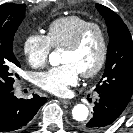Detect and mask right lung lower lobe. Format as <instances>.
Segmentation results:
<instances>
[{
  "mask_svg": "<svg viewBox=\"0 0 133 133\" xmlns=\"http://www.w3.org/2000/svg\"><path fill=\"white\" fill-rule=\"evenodd\" d=\"M45 102L37 94L29 100L16 98L12 90L0 94V132L25 129Z\"/></svg>",
  "mask_w": 133,
  "mask_h": 133,
  "instance_id": "right-lung-lower-lobe-1",
  "label": "right lung lower lobe"
}]
</instances>
